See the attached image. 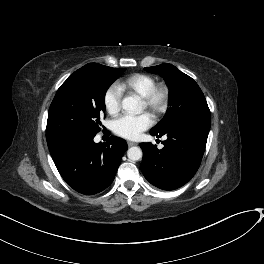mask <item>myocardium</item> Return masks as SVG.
Returning <instances> with one entry per match:
<instances>
[{
	"label": "myocardium",
	"instance_id": "f54148a6",
	"mask_svg": "<svg viewBox=\"0 0 264 264\" xmlns=\"http://www.w3.org/2000/svg\"><path fill=\"white\" fill-rule=\"evenodd\" d=\"M142 99L146 109H148L154 117H160L167 111L170 89L164 83L156 84L146 96L142 97Z\"/></svg>",
	"mask_w": 264,
	"mask_h": 264
}]
</instances>
